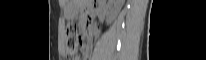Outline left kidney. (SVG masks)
<instances>
[{
  "instance_id": "obj_1",
  "label": "left kidney",
  "mask_w": 206,
  "mask_h": 60,
  "mask_svg": "<svg viewBox=\"0 0 206 60\" xmlns=\"http://www.w3.org/2000/svg\"><path fill=\"white\" fill-rule=\"evenodd\" d=\"M122 0H117L114 8L107 14V21L110 22L120 10Z\"/></svg>"
}]
</instances>
